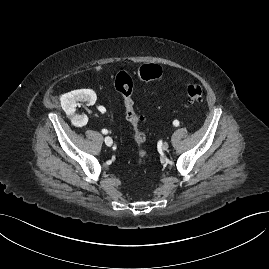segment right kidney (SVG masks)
I'll return each instance as SVG.
<instances>
[{"instance_id": "obj_1", "label": "right kidney", "mask_w": 269, "mask_h": 269, "mask_svg": "<svg viewBox=\"0 0 269 269\" xmlns=\"http://www.w3.org/2000/svg\"><path fill=\"white\" fill-rule=\"evenodd\" d=\"M97 99L96 93L91 89L73 90L61 96V106L66 114L72 119L85 125L88 122L86 115H75L77 102L87 101L89 104H94Z\"/></svg>"}]
</instances>
